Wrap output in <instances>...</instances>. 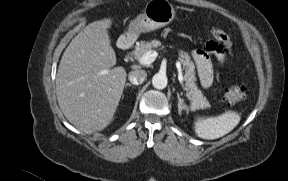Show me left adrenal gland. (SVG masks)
<instances>
[{
  "label": "left adrenal gland",
  "mask_w": 288,
  "mask_h": 181,
  "mask_svg": "<svg viewBox=\"0 0 288 181\" xmlns=\"http://www.w3.org/2000/svg\"><path fill=\"white\" fill-rule=\"evenodd\" d=\"M177 98H178V113L181 114L182 110H188V106L184 104V100L181 99L179 94H177Z\"/></svg>",
  "instance_id": "1"
}]
</instances>
